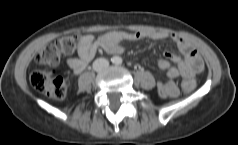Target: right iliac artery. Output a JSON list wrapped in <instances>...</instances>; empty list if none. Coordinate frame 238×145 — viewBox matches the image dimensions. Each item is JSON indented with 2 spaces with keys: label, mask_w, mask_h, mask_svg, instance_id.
Masks as SVG:
<instances>
[{
  "label": "right iliac artery",
  "mask_w": 238,
  "mask_h": 145,
  "mask_svg": "<svg viewBox=\"0 0 238 145\" xmlns=\"http://www.w3.org/2000/svg\"><path fill=\"white\" fill-rule=\"evenodd\" d=\"M111 62L112 63H116L117 62V58H115V57L111 58Z\"/></svg>",
  "instance_id": "82829eb1"
}]
</instances>
